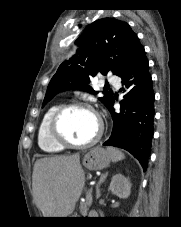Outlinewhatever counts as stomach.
I'll return each mask as SVG.
<instances>
[{
	"mask_svg": "<svg viewBox=\"0 0 181 227\" xmlns=\"http://www.w3.org/2000/svg\"><path fill=\"white\" fill-rule=\"evenodd\" d=\"M111 162V156L107 150L95 147L87 152L82 160L83 166L88 170H102ZM75 217V216H72Z\"/></svg>",
	"mask_w": 181,
	"mask_h": 227,
	"instance_id": "0dacf381",
	"label": "stomach"
}]
</instances>
